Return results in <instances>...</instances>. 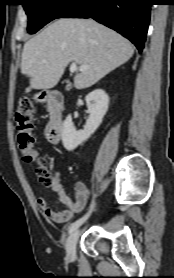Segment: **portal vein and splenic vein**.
Returning a JSON list of instances; mask_svg holds the SVG:
<instances>
[{"instance_id": "obj_1", "label": "portal vein and splenic vein", "mask_w": 174, "mask_h": 278, "mask_svg": "<svg viewBox=\"0 0 174 278\" xmlns=\"http://www.w3.org/2000/svg\"><path fill=\"white\" fill-rule=\"evenodd\" d=\"M88 69V66L82 65L79 67V71H86ZM77 70L76 62H72L70 66V72L74 73Z\"/></svg>"}]
</instances>
